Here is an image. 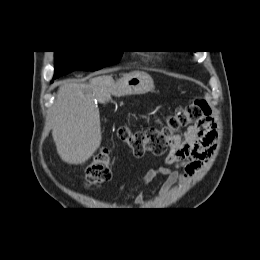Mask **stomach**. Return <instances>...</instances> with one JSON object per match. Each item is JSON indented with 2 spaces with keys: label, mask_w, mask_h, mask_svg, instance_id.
I'll list each match as a JSON object with an SVG mask.
<instances>
[{
  "label": "stomach",
  "mask_w": 260,
  "mask_h": 260,
  "mask_svg": "<svg viewBox=\"0 0 260 260\" xmlns=\"http://www.w3.org/2000/svg\"><path fill=\"white\" fill-rule=\"evenodd\" d=\"M154 89L153 79L146 73H131L121 78L114 86L115 96L143 95Z\"/></svg>",
  "instance_id": "1"
}]
</instances>
